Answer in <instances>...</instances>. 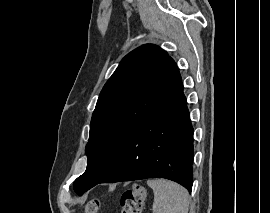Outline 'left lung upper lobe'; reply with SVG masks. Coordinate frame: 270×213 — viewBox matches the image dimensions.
Masks as SVG:
<instances>
[{
  "label": "left lung upper lobe",
  "mask_w": 270,
  "mask_h": 213,
  "mask_svg": "<svg viewBox=\"0 0 270 213\" xmlns=\"http://www.w3.org/2000/svg\"><path fill=\"white\" fill-rule=\"evenodd\" d=\"M180 80L174 60L156 45H142L122 59L93 112L87 168L73 185L77 194L100 182L139 125Z\"/></svg>",
  "instance_id": "1"
}]
</instances>
